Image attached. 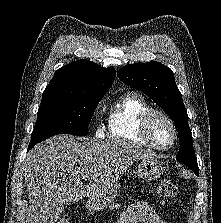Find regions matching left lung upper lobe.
Returning a JSON list of instances; mask_svg holds the SVG:
<instances>
[{
  "instance_id": "5c2ea615",
  "label": "left lung upper lobe",
  "mask_w": 221,
  "mask_h": 223,
  "mask_svg": "<svg viewBox=\"0 0 221 223\" xmlns=\"http://www.w3.org/2000/svg\"><path fill=\"white\" fill-rule=\"evenodd\" d=\"M118 77L130 87L144 92L175 122L180 141L176 159L198 175L187 111L171 69L156 61L135 63L122 67L118 71Z\"/></svg>"
}]
</instances>
